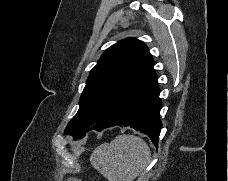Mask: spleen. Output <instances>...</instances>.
Listing matches in <instances>:
<instances>
[{"instance_id": "obj_1", "label": "spleen", "mask_w": 228, "mask_h": 181, "mask_svg": "<svg viewBox=\"0 0 228 181\" xmlns=\"http://www.w3.org/2000/svg\"><path fill=\"white\" fill-rule=\"evenodd\" d=\"M151 151L140 137L118 135L93 151L91 165L108 181H134L150 163Z\"/></svg>"}]
</instances>
